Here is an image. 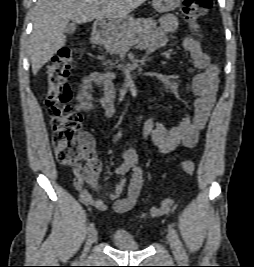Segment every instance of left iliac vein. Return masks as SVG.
Segmentation results:
<instances>
[{
	"label": "left iliac vein",
	"mask_w": 254,
	"mask_h": 267,
	"mask_svg": "<svg viewBox=\"0 0 254 267\" xmlns=\"http://www.w3.org/2000/svg\"><path fill=\"white\" fill-rule=\"evenodd\" d=\"M167 241L170 245V248L172 250V253L174 254L175 257H180V250L178 248V244L177 241L175 239V237L173 236L172 233H168L167 234Z\"/></svg>",
	"instance_id": "1"
}]
</instances>
